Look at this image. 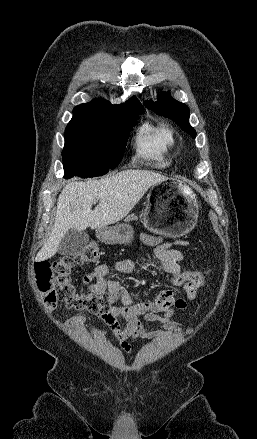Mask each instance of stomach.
Returning a JSON list of instances; mask_svg holds the SVG:
<instances>
[{
	"mask_svg": "<svg viewBox=\"0 0 257 439\" xmlns=\"http://www.w3.org/2000/svg\"><path fill=\"white\" fill-rule=\"evenodd\" d=\"M199 205L196 194L184 182L167 178L150 189L143 215L148 230L170 237H180L192 231L197 223ZM134 230L127 223L98 228L97 237L108 244H127Z\"/></svg>",
	"mask_w": 257,
	"mask_h": 439,
	"instance_id": "0dacf381",
	"label": "stomach"
}]
</instances>
